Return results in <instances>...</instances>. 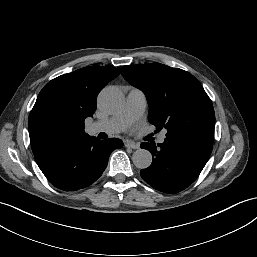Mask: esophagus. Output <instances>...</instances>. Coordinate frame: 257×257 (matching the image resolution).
<instances>
[{
  "label": "esophagus",
  "instance_id": "obj_1",
  "mask_svg": "<svg viewBox=\"0 0 257 257\" xmlns=\"http://www.w3.org/2000/svg\"><path fill=\"white\" fill-rule=\"evenodd\" d=\"M125 147L131 148V149H139L140 145L138 143H135L133 141H126Z\"/></svg>",
  "mask_w": 257,
  "mask_h": 257
}]
</instances>
